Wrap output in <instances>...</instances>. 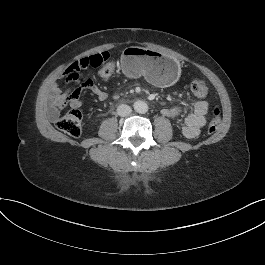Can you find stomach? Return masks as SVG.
Listing matches in <instances>:
<instances>
[{
	"label": "stomach",
	"mask_w": 265,
	"mask_h": 265,
	"mask_svg": "<svg viewBox=\"0 0 265 265\" xmlns=\"http://www.w3.org/2000/svg\"><path fill=\"white\" fill-rule=\"evenodd\" d=\"M120 62L126 76H144L149 82L161 87L175 84L180 76L179 62L156 50L130 46L124 49Z\"/></svg>",
	"instance_id": "1"
}]
</instances>
